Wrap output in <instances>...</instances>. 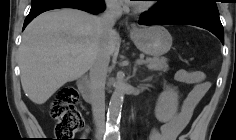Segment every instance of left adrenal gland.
I'll use <instances>...</instances> for the list:
<instances>
[{
  "label": "left adrenal gland",
  "instance_id": "obj_1",
  "mask_svg": "<svg viewBox=\"0 0 236 140\" xmlns=\"http://www.w3.org/2000/svg\"><path fill=\"white\" fill-rule=\"evenodd\" d=\"M136 71H137V67H136V65H135L134 68H133V76H135Z\"/></svg>",
  "mask_w": 236,
  "mask_h": 140
}]
</instances>
